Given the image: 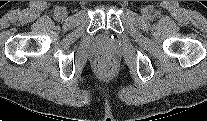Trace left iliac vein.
<instances>
[{
  "label": "left iliac vein",
  "mask_w": 207,
  "mask_h": 121,
  "mask_svg": "<svg viewBox=\"0 0 207 121\" xmlns=\"http://www.w3.org/2000/svg\"><path fill=\"white\" fill-rule=\"evenodd\" d=\"M142 13H143L144 16H147V15H148V11H147L146 9H144V10L142 11Z\"/></svg>",
  "instance_id": "1"
}]
</instances>
